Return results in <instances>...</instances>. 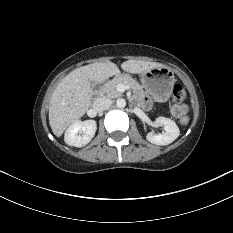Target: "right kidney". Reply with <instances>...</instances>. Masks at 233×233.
Listing matches in <instances>:
<instances>
[{
    "label": "right kidney",
    "mask_w": 233,
    "mask_h": 233,
    "mask_svg": "<svg viewBox=\"0 0 233 233\" xmlns=\"http://www.w3.org/2000/svg\"><path fill=\"white\" fill-rule=\"evenodd\" d=\"M96 129L95 120L76 121L67 128L64 140L69 146L83 147L92 140Z\"/></svg>",
    "instance_id": "right-kidney-1"
}]
</instances>
